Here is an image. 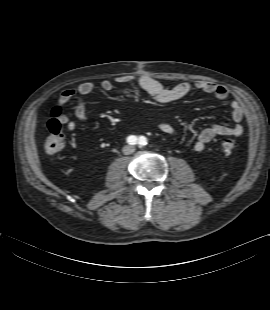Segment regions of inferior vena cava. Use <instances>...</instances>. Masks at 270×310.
Listing matches in <instances>:
<instances>
[{
	"label": "inferior vena cava",
	"mask_w": 270,
	"mask_h": 310,
	"mask_svg": "<svg viewBox=\"0 0 270 310\" xmlns=\"http://www.w3.org/2000/svg\"><path fill=\"white\" fill-rule=\"evenodd\" d=\"M134 150H135V149H134L133 146H125V147L123 148V153H124L125 155H128V154L133 153Z\"/></svg>",
	"instance_id": "602c4592"
}]
</instances>
